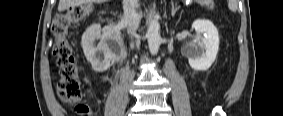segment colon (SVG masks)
<instances>
[{"mask_svg": "<svg viewBox=\"0 0 283 116\" xmlns=\"http://www.w3.org/2000/svg\"><path fill=\"white\" fill-rule=\"evenodd\" d=\"M91 10L88 2L78 3L57 15L52 23V33L56 38L53 55L59 67L57 94L62 101L70 104L81 99L82 91L78 68L68 41V32L73 25L88 17ZM75 110L79 115H90V109L85 105H78Z\"/></svg>", "mask_w": 283, "mask_h": 116, "instance_id": "colon-1", "label": "colon"}]
</instances>
